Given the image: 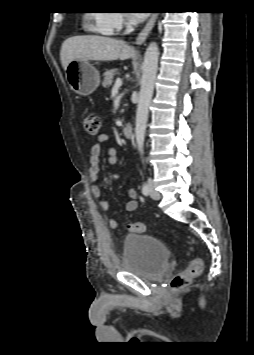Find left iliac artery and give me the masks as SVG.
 I'll use <instances>...</instances> for the list:
<instances>
[{"label": "left iliac artery", "instance_id": "left-iliac-artery-1", "mask_svg": "<svg viewBox=\"0 0 254 355\" xmlns=\"http://www.w3.org/2000/svg\"><path fill=\"white\" fill-rule=\"evenodd\" d=\"M142 193H143L145 196L148 195V193H149V186H148L147 183H144V184H143Z\"/></svg>", "mask_w": 254, "mask_h": 355}]
</instances>
